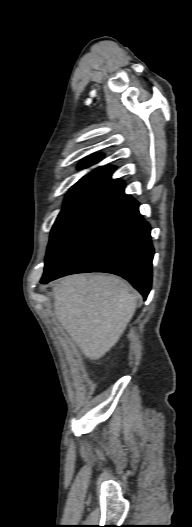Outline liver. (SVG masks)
Returning <instances> with one entry per match:
<instances>
[{
    "instance_id": "obj_1",
    "label": "liver",
    "mask_w": 192,
    "mask_h": 527,
    "mask_svg": "<svg viewBox=\"0 0 192 527\" xmlns=\"http://www.w3.org/2000/svg\"><path fill=\"white\" fill-rule=\"evenodd\" d=\"M130 289L112 275H72L54 286L56 318L86 358L100 359L124 333L136 309Z\"/></svg>"
}]
</instances>
